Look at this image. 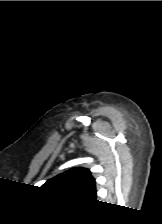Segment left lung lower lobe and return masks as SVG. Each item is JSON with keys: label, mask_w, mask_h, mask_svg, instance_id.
<instances>
[{"label": "left lung lower lobe", "mask_w": 162, "mask_h": 224, "mask_svg": "<svg viewBox=\"0 0 162 224\" xmlns=\"http://www.w3.org/2000/svg\"><path fill=\"white\" fill-rule=\"evenodd\" d=\"M95 198H96V194L93 196V198H92V199H93V200H95Z\"/></svg>", "instance_id": "0a47b994"}]
</instances>
